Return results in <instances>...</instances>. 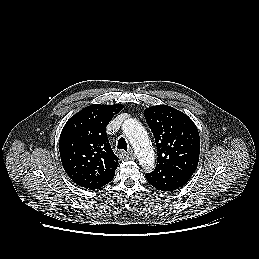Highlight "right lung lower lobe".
Here are the masks:
<instances>
[{"instance_id": "obj_1", "label": "right lung lower lobe", "mask_w": 259, "mask_h": 259, "mask_svg": "<svg viewBox=\"0 0 259 259\" xmlns=\"http://www.w3.org/2000/svg\"><path fill=\"white\" fill-rule=\"evenodd\" d=\"M113 178H114V177H113ZM113 178H112V179H113ZM112 179L108 180L107 182H105L104 184H102L101 186H99V187H97V188H95V189H98V188H100V187H102V186L108 184Z\"/></svg>"}]
</instances>
